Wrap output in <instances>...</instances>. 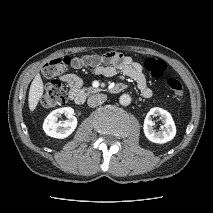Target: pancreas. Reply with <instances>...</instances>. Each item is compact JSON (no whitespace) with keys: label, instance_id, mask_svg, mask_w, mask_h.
I'll use <instances>...</instances> for the list:
<instances>
[{"label":"pancreas","instance_id":"cf45deb5","mask_svg":"<svg viewBox=\"0 0 213 213\" xmlns=\"http://www.w3.org/2000/svg\"><path fill=\"white\" fill-rule=\"evenodd\" d=\"M89 90L91 91V92H96V91H98L97 89H94V88H89Z\"/></svg>","mask_w":213,"mask_h":213}]
</instances>
